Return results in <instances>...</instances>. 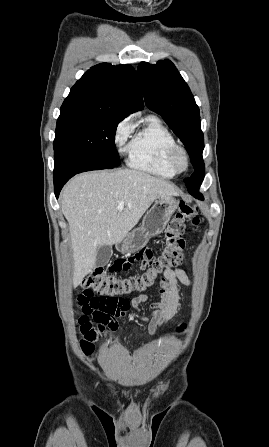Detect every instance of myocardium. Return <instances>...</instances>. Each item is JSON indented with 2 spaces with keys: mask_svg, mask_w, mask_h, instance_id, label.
<instances>
[{
  "mask_svg": "<svg viewBox=\"0 0 269 447\" xmlns=\"http://www.w3.org/2000/svg\"><path fill=\"white\" fill-rule=\"evenodd\" d=\"M181 162L184 163L183 167ZM169 163L176 172L185 171L189 166V157L186 149L176 144L170 152Z\"/></svg>",
  "mask_w": 269,
  "mask_h": 447,
  "instance_id": "obj_1",
  "label": "myocardium"
}]
</instances>
